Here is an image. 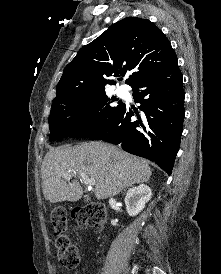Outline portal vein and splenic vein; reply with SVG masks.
<instances>
[{
	"label": "portal vein and splenic vein",
	"instance_id": "1",
	"mask_svg": "<svg viewBox=\"0 0 221 274\" xmlns=\"http://www.w3.org/2000/svg\"><path fill=\"white\" fill-rule=\"evenodd\" d=\"M63 177L65 179H69V178H71V174L68 173V174L64 175ZM80 177H81V180L83 181V183L88 186H93L96 184L95 179L89 178L85 173H80Z\"/></svg>",
	"mask_w": 221,
	"mask_h": 274
}]
</instances>
